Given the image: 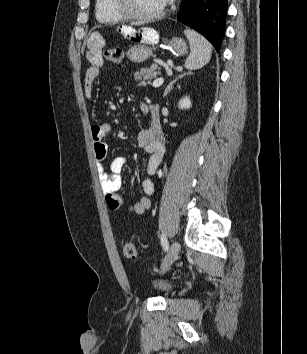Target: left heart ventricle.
I'll list each match as a JSON object with an SVG mask.
<instances>
[{
    "mask_svg": "<svg viewBox=\"0 0 307 354\" xmlns=\"http://www.w3.org/2000/svg\"><path fill=\"white\" fill-rule=\"evenodd\" d=\"M164 2V0H128V6L135 13L150 14L161 9Z\"/></svg>",
    "mask_w": 307,
    "mask_h": 354,
    "instance_id": "obj_1",
    "label": "left heart ventricle"
}]
</instances>
